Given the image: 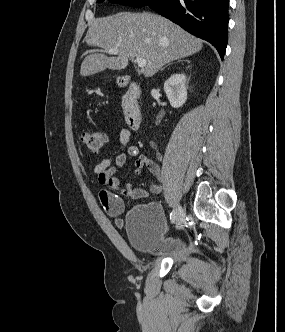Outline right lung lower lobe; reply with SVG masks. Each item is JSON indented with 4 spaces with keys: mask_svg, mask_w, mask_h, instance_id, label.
<instances>
[{
    "mask_svg": "<svg viewBox=\"0 0 285 332\" xmlns=\"http://www.w3.org/2000/svg\"><path fill=\"white\" fill-rule=\"evenodd\" d=\"M228 5L229 0H153L148 4L186 31L210 42L222 59L228 38Z\"/></svg>",
    "mask_w": 285,
    "mask_h": 332,
    "instance_id": "1",
    "label": "right lung lower lobe"
}]
</instances>
